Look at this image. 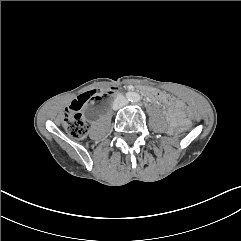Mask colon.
I'll use <instances>...</instances> for the list:
<instances>
[{
  "label": "colon",
  "instance_id": "5ec220e1",
  "mask_svg": "<svg viewBox=\"0 0 241 241\" xmlns=\"http://www.w3.org/2000/svg\"><path fill=\"white\" fill-rule=\"evenodd\" d=\"M115 88H110V91ZM107 92L100 90H92L86 93L81 94L66 110L63 118V125L68 134L74 139H82L86 136L88 127L84 122L81 113L79 112L80 108L89 100L98 98L99 96ZM159 93V92H158ZM163 94V93H160ZM165 95V94H163ZM189 134L191 132V127L189 125H184L182 128L180 126H175L173 128V134L175 136H180L182 134Z\"/></svg>",
  "mask_w": 241,
  "mask_h": 241
}]
</instances>
